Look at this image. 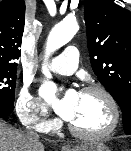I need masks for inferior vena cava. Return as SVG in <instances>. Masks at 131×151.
I'll use <instances>...</instances> for the list:
<instances>
[{
  "label": "inferior vena cava",
  "mask_w": 131,
  "mask_h": 151,
  "mask_svg": "<svg viewBox=\"0 0 131 151\" xmlns=\"http://www.w3.org/2000/svg\"><path fill=\"white\" fill-rule=\"evenodd\" d=\"M26 135L34 140H38V134L32 130H28Z\"/></svg>",
  "instance_id": "obj_1"
}]
</instances>
